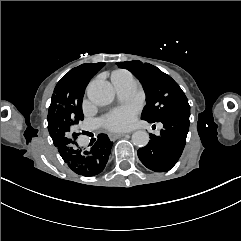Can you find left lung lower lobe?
<instances>
[{"mask_svg":"<svg viewBox=\"0 0 241 241\" xmlns=\"http://www.w3.org/2000/svg\"><path fill=\"white\" fill-rule=\"evenodd\" d=\"M189 116L190 111L160 121L164 127L160 136L150 134L149 143L138 150V157L147 168L165 172L174 167L186 143Z\"/></svg>","mask_w":241,"mask_h":241,"instance_id":"obj_1","label":"left lung lower lobe"}]
</instances>
